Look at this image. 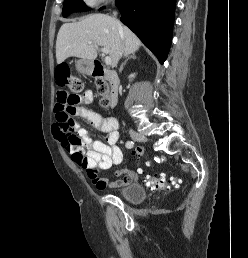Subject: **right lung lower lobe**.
Instances as JSON below:
<instances>
[{
    "label": "right lung lower lobe",
    "instance_id": "obj_1",
    "mask_svg": "<svg viewBox=\"0 0 248 258\" xmlns=\"http://www.w3.org/2000/svg\"><path fill=\"white\" fill-rule=\"evenodd\" d=\"M176 0H116L121 17L158 58H167L171 45Z\"/></svg>",
    "mask_w": 248,
    "mask_h": 258
}]
</instances>
